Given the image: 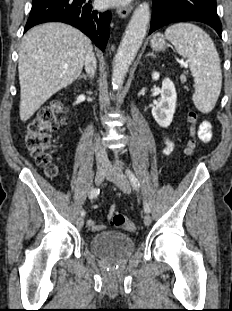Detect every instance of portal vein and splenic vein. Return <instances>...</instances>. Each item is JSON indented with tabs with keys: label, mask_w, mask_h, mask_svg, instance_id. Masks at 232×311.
I'll return each instance as SVG.
<instances>
[{
	"label": "portal vein and splenic vein",
	"mask_w": 232,
	"mask_h": 311,
	"mask_svg": "<svg viewBox=\"0 0 232 311\" xmlns=\"http://www.w3.org/2000/svg\"><path fill=\"white\" fill-rule=\"evenodd\" d=\"M63 68L67 69V68H68V65H63Z\"/></svg>",
	"instance_id": "portal-vein-and-splenic-vein-1"
}]
</instances>
